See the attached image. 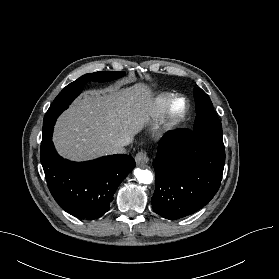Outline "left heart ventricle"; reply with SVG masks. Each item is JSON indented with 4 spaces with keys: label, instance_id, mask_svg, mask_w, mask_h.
Masks as SVG:
<instances>
[{
    "label": "left heart ventricle",
    "instance_id": "1",
    "mask_svg": "<svg viewBox=\"0 0 279 279\" xmlns=\"http://www.w3.org/2000/svg\"><path fill=\"white\" fill-rule=\"evenodd\" d=\"M183 107V103L182 101H178L176 102V104L174 105V112H179Z\"/></svg>",
    "mask_w": 279,
    "mask_h": 279
}]
</instances>
